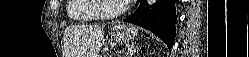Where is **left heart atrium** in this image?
Wrapping results in <instances>:
<instances>
[{
	"instance_id": "39dd6f15",
	"label": "left heart atrium",
	"mask_w": 249,
	"mask_h": 57,
	"mask_svg": "<svg viewBox=\"0 0 249 57\" xmlns=\"http://www.w3.org/2000/svg\"><path fill=\"white\" fill-rule=\"evenodd\" d=\"M130 1H132V0H123V2H125V3H128V2H130Z\"/></svg>"
}]
</instances>
